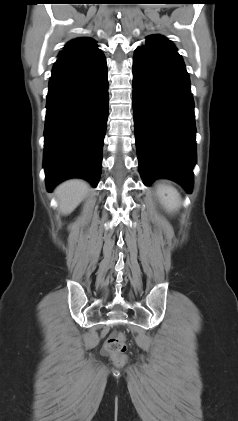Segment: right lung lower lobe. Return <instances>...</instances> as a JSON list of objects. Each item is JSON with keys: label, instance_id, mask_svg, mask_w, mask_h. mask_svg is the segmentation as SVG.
I'll return each instance as SVG.
<instances>
[{"label": "right lung lower lobe", "instance_id": "1", "mask_svg": "<svg viewBox=\"0 0 238 421\" xmlns=\"http://www.w3.org/2000/svg\"><path fill=\"white\" fill-rule=\"evenodd\" d=\"M46 107L43 166L48 191L73 177L96 187L108 117L104 54L57 59Z\"/></svg>", "mask_w": 238, "mask_h": 421}]
</instances>
